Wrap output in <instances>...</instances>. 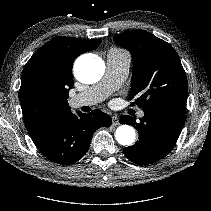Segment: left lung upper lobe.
Listing matches in <instances>:
<instances>
[{"mask_svg": "<svg viewBox=\"0 0 211 211\" xmlns=\"http://www.w3.org/2000/svg\"><path fill=\"white\" fill-rule=\"evenodd\" d=\"M113 40L130 51L133 59L131 98L146 109L162 103L186 104V73L174 48L142 30L117 35Z\"/></svg>", "mask_w": 211, "mask_h": 211, "instance_id": "obj_1", "label": "left lung upper lobe"}]
</instances>
